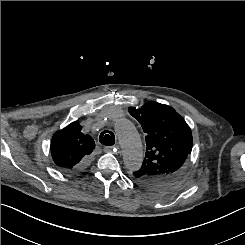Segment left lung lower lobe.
<instances>
[{
  "label": "left lung lower lobe",
  "mask_w": 245,
  "mask_h": 245,
  "mask_svg": "<svg viewBox=\"0 0 245 245\" xmlns=\"http://www.w3.org/2000/svg\"><path fill=\"white\" fill-rule=\"evenodd\" d=\"M170 182H162L161 184H159V186L157 188H154V189H158V188H162L166 185H168Z\"/></svg>",
  "instance_id": "left-lung-lower-lobe-1"
}]
</instances>
